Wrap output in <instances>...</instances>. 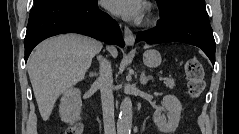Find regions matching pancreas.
<instances>
[{
	"label": "pancreas",
	"instance_id": "cf45deb5",
	"mask_svg": "<svg viewBox=\"0 0 239 134\" xmlns=\"http://www.w3.org/2000/svg\"><path fill=\"white\" fill-rule=\"evenodd\" d=\"M164 84H165L166 87H168L170 89H173L176 86L175 81L172 78L164 79Z\"/></svg>",
	"mask_w": 239,
	"mask_h": 134
}]
</instances>
